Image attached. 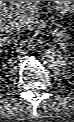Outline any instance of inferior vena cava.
I'll list each match as a JSON object with an SVG mask.
<instances>
[{
  "label": "inferior vena cava",
  "instance_id": "obj_1",
  "mask_svg": "<svg viewBox=\"0 0 74 122\" xmlns=\"http://www.w3.org/2000/svg\"><path fill=\"white\" fill-rule=\"evenodd\" d=\"M11 26L14 30L21 31L27 28V23L22 19L20 20L16 19L11 22Z\"/></svg>",
  "mask_w": 74,
  "mask_h": 122
}]
</instances>
